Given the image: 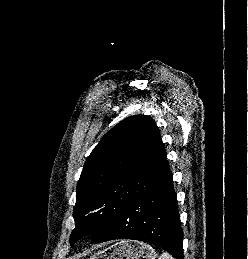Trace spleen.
<instances>
[{
  "label": "spleen",
  "mask_w": 248,
  "mask_h": 259,
  "mask_svg": "<svg viewBox=\"0 0 248 259\" xmlns=\"http://www.w3.org/2000/svg\"><path fill=\"white\" fill-rule=\"evenodd\" d=\"M158 259H174V258L167 252H163Z\"/></svg>",
  "instance_id": "1"
}]
</instances>
